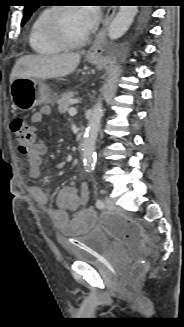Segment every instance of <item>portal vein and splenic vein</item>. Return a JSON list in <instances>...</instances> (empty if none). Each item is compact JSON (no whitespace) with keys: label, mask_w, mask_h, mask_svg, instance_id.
I'll list each match as a JSON object with an SVG mask.
<instances>
[{"label":"portal vein and splenic vein","mask_w":184,"mask_h":327,"mask_svg":"<svg viewBox=\"0 0 184 327\" xmlns=\"http://www.w3.org/2000/svg\"><path fill=\"white\" fill-rule=\"evenodd\" d=\"M68 113L71 115V116H73V115H76L77 114V110L75 109V108H70L69 110H68Z\"/></svg>","instance_id":"18ae733b"}]
</instances>
